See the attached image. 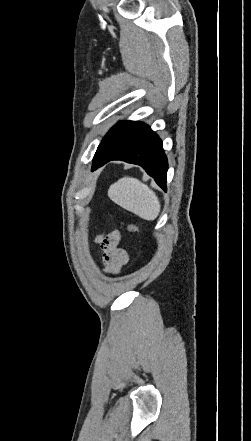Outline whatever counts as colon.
Listing matches in <instances>:
<instances>
[{
    "label": "colon",
    "instance_id": "obj_1",
    "mask_svg": "<svg viewBox=\"0 0 251 441\" xmlns=\"http://www.w3.org/2000/svg\"><path fill=\"white\" fill-rule=\"evenodd\" d=\"M126 227H127L128 231L131 232L132 234H135V235H139L140 234V230H139V227L137 225L132 224V223H127Z\"/></svg>",
    "mask_w": 251,
    "mask_h": 441
}]
</instances>
